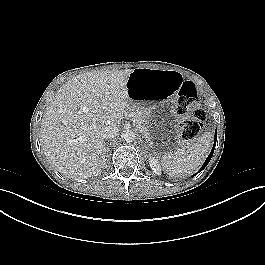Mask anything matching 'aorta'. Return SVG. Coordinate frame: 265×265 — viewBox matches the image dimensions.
<instances>
[{
	"instance_id": "aorta-1",
	"label": "aorta",
	"mask_w": 265,
	"mask_h": 265,
	"mask_svg": "<svg viewBox=\"0 0 265 265\" xmlns=\"http://www.w3.org/2000/svg\"><path fill=\"white\" fill-rule=\"evenodd\" d=\"M135 137V133L132 130H126L121 134V138L126 142L134 141Z\"/></svg>"
}]
</instances>
